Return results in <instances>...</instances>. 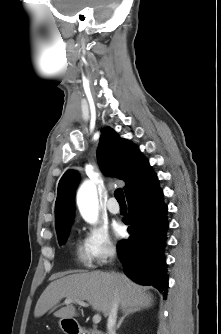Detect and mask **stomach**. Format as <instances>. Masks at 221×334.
Instances as JSON below:
<instances>
[{
    "instance_id": "1",
    "label": "stomach",
    "mask_w": 221,
    "mask_h": 334,
    "mask_svg": "<svg viewBox=\"0 0 221 334\" xmlns=\"http://www.w3.org/2000/svg\"><path fill=\"white\" fill-rule=\"evenodd\" d=\"M59 326L66 334H68L67 332L69 328H77V323L74 320L62 318L59 321Z\"/></svg>"
}]
</instances>
